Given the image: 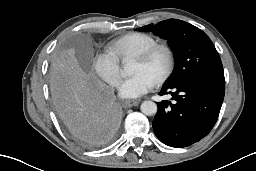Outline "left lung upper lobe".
Masks as SVG:
<instances>
[{
  "label": "left lung upper lobe",
  "instance_id": "left-lung-upper-lobe-1",
  "mask_svg": "<svg viewBox=\"0 0 256 171\" xmlns=\"http://www.w3.org/2000/svg\"><path fill=\"white\" fill-rule=\"evenodd\" d=\"M136 30L153 32L166 39L173 49L176 65L165 85L179 83L194 75H224L217 50L199 28L181 20L168 19Z\"/></svg>",
  "mask_w": 256,
  "mask_h": 171
}]
</instances>
